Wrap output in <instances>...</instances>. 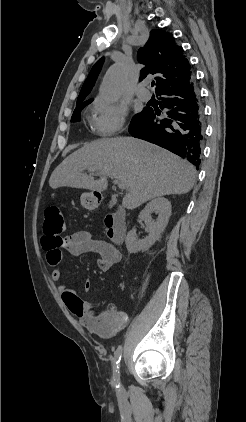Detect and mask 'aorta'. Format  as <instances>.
<instances>
[{
	"label": "aorta",
	"mask_w": 246,
	"mask_h": 422,
	"mask_svg": "<svg viewBox=\"0 0 246 422\" xmlns=\"http://www.w3.org/2000/svg\"><path fill=\"white\" fill-rule=\"evenodd\" d=\"M127 81L123 66L114 65L107 71L100 87V96L106 102H116L121 97Z\"/></svg>",
	"instance_id": "762f6f07"
}]
</instances>
